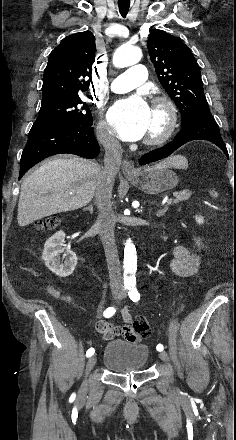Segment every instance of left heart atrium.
<instances>
[{"label": "left heart atrium", "mask_w": 236, "mask_h": 440, "mask_svg": "<svg viewBox=\"0 0 236 440\" xmlns=\"http://www.w3.org/2000/svg\"><path fill=\"white\" fill-rule=\"evenodd\" d=\"M152 111L141 96L117 101L109 111L108 120L116 135L124 141H136L146 135Z\"/></svg>", "instance_id": "obj_1"}]
</instances>
